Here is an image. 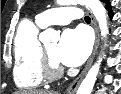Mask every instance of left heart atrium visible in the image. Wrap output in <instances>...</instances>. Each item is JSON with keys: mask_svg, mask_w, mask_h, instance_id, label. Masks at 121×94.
<instances>
[{"mask_svg": "<svg viewBox=\"0 0 121 94\" xmlns=\"http://www.w3.org/2000/svg\"><path fill=\"white\" fill-rule=\"evenodd\" d=\"M90 47V38L83 29H67L57 45L55 57L65 66H79L88 57Z\"/></svg>", "mask_w": 121, "mask_h": 94, "instance_id": "obj_1", "label": "left heart atrium"}]
</instances>
